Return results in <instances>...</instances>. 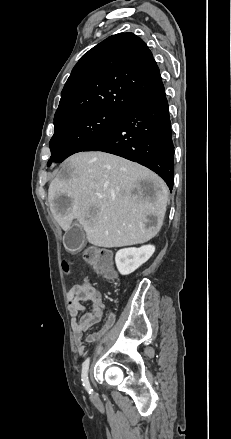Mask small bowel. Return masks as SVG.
I'll list each match as a JSON object with an SVG mask.
<instances>
[{"instance_id":"small-bowel-1","label":"small bowel","mask_w":231,"mask_h":439,"mask_svg":"<svg viewBox=\"0 0 231 439\" xmlns=\"http://www.w3.org/2000/svg\"><path fill=\"white\" fill-rule=\"evenodd\" d=\"M85 302H90V310L86 311ZM68 310L72 317V330L75 346L80 355L84 353L85 345L95 342L115 321V315L109 313L106 323L99 331L85 333L90 327L98 323L104 313L102 294L91 281H84L73 285L67 293Z\"/></svg>"}]
</instances>
